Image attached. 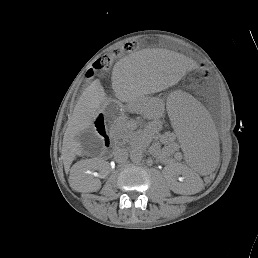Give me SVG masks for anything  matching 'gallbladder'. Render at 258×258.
Segmentation results:
<instances>
[{"label":"gallbladder","instance_id":"gallbladder-1","mask_svg":"<svg viewBox=\"0 0 258 258\" xmlns=\"http://www.w3.org/2000/svg\"><path fill=\"white\" fill-rule=\"evenodd\" d=\"M76 139L80 142L83 151L86 153L97 154L102 147L100 136L92 128L81 131L76 136Z\"/></svg>","mask_w":258,"mask_h":258}]
</instances>
